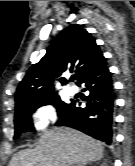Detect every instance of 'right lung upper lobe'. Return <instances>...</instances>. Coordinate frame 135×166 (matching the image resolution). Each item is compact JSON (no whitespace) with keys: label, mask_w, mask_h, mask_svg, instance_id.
Returning a JSON list of instances; mask_svg holds the SVG:
<instances>
[{"label":"right lung upper lobe","mask_w":135,"mask_h":166,"mask_svg":"<svg viewBox=\"0 0 135 166\" xmlns=\"http://www.w3.org/2000/svg\"><path fill=\"white\" fill-rule=\"evenodd\" d=\"M104 59L90 33L81 25H69L59 33L45 56L27 71L16 91L15 108L19 109L56 95L52 81L54 76L74 71L79 80ZM61 79V83L66 84V80Z\"/></svg>","instance_id":"right-lung-upper-lobe-1"}]
</instances>
